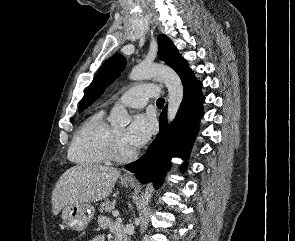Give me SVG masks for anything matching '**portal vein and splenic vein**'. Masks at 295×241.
Segmentation results:
<instances>
[{"label":"portal vein and splenic vein","instance_id":"obj_1","mask_svg":"<svg viewBox=\"0 0 295 241\" xmlns=\"http://www.w3.org/2000/svg\"><path fill=\"white\" fill-rule=\"evenodd\" d=\"M112 214H113L114 217H118L119 216V212L118 211H114Z\"/></svg>","mask_w":295,"mask_h":241}]
</instances>
